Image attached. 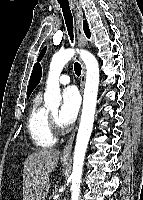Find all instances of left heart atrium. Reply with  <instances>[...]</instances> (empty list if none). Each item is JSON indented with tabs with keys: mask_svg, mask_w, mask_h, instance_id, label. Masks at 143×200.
<instances>
[{
	"mask_svg": "<svg viewBox=\"0 0 143 200\" xmlns=\"http://www.w3.org/2000/svg\"><path fill=\"white\" fill-rule=\"evenodd\" d=\"M80 107V96L77 89L73 86L67 87L62 92V106L58 112L57 119L61 126L71 124Z\"/></svg>",
	"mask_w": 143,
	"mask_h": 200,
	"instance_id": "left-heart-atrium-1",
	"label": "left heart atrium"
}]
</instances>
